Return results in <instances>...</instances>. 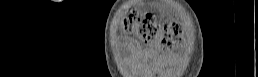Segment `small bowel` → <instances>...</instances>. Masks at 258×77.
Here are the masks:
<instances>
[{
	"mask_svg": "<svg viewBox=\"0 0 258 77\" xmlns=\"http://www.w3.org/2000/svg\"><path fill=\"white\" fill-rule=\"evenodd\" d=\"M128 46L130 48V50L135 54H140L143 51L141 50L140 46L137 44V42L135 40H129L128 41Z\"/></svg>",
	"mask_w": 258,
	"mask_h": 77,
	"instance_id": "c3829d8e",
	"label": "small bowel"
}]
</instances>
